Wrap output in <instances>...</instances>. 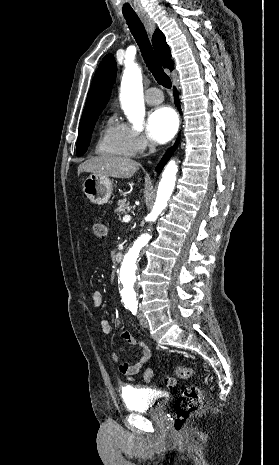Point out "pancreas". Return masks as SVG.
<instances>
[{"instance_id":"obj_1","label":"pancreas","mask_w":279,"mask_h":465,"mask_svg":"<svg viewBox=\"0 0 279 465\" xmlns=\"http://www.w3.org/2000/svg\"><path fill=\"white\" fill-rule=\"evenodd\" d=\"M130 209H131L130 203L126 202V200L123 199L118 202V207L115 209V212L121 215V214H125Z\"/></svg>"}]
</instances>
